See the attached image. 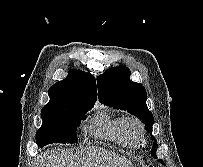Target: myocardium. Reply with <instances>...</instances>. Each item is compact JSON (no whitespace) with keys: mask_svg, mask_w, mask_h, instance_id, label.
Here are the masks:
<instances>
[{"mask_svg":"<svg viewBox=\"0 0 203 167\" xmlns=\"http://www.w3.org/2000/svg\"><path fill=\"white\" fill-rule=\"evenodd\" d=\"M123 129L131 145L137 146L144 141L145 128L142 121L137 117L125 118Z\"/></svg>","mask_w":203,"mask_h":167,"instance_id":"myocardium-1","label":"myocardium"}]
</instances>
